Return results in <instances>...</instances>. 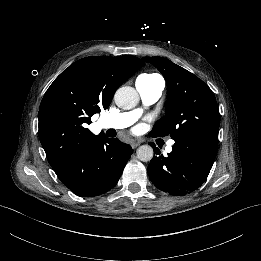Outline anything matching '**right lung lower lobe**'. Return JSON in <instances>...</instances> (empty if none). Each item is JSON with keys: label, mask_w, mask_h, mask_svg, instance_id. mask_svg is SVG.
Listing matches in <instances>:
<instances>
[{"label": "right lung lower lobe", "mask_w": 261, "mask_h": 261, "mask_svg": "<svg viewBox=\"0 0 261 261\" xmlns=\"http://www.w3.org/2000/svg\"><path fill=\"white\" fill-rule=\"evenodd\" d=\"M129 145L101 136L87 151L56 170L58 178L80 197H94L113 188L132 154Z\"/></svg>", "instance_id": "98d812e1"}]
</instances>
